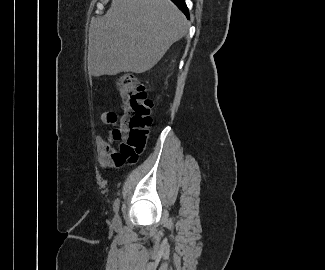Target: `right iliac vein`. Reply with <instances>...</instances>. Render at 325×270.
I'll return each instance as SVG.
<instances>
[{
  "label": "right iliac vein",
  "instance_id": "right-iliac-vein-1",
  "mask_svg": "<svg viewBox=\"0 0 325 270\" xmlns=\"http://www.w3.org/2000/svg\"><path fill=\"white\" fill-rule=\"evenodd\" d=\"M113 224H114L115 226H118V225L120 224V217H119L118 214H116V215L114 216V218H113Z\"/></svg>",
  "mask_w": 325,
  "mask_h": 270
}]
</instances>
